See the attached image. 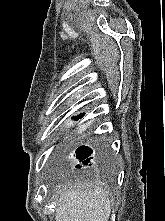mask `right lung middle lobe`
Masks as SVG:
<instances>
[{
	"label": "right lung middle lobe",
	"mask_w": 165,
	"mask_h": 221,
	"mask_svg": "<svg viewBox=\"0 0 165 221\" xmlns=\"http://www.w3.org/2000/svg\"><path fill=\"white\" fill-rule=\"evenodd\" d=\"M82 116H83V114H81V115L75 117V119L81 118Z\"/></svg>",
	"instance_id": "1"
}]
</instances>
